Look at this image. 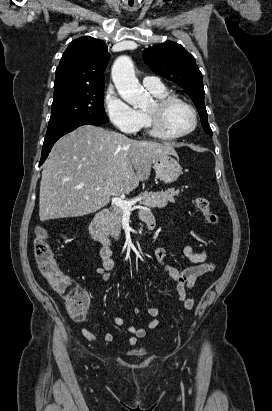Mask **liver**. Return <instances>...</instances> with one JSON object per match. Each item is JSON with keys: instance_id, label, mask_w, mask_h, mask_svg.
Returning <instances> with one entry per match:
<instances>
[{"instance_id": "obj_1", "label": "liver", "mask_w": 272, "mask_h": 411, "mask_svg": "<svg viewBox=\"0 0 272 411\" xmlns=\"http://www.w3.org/2000/svg\"><path fill=\"white\" fill-rule=\"evenodd\" d=\"M165 155L177 156L169 144L133 140L92 125L77 128L56 142L44 164L40 220L98 211L111 196L129 194L147 180L153 160Z\"/></svg>"}]
</instances>
